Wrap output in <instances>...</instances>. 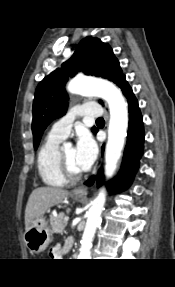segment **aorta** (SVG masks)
Segmentation results:
<instances>
[{"instance_id":"obj_1","label":"aorta","mask_w":175,"mask_h":287,"mask_svg":"<svg viewBox=\"0 0 175 287\" xmlns=\"http://www.w3.org/2000/svg\"><path fill=\"white\" fill-rule=\"evenodd\" d=\"M70 93L93 94L104 99L109 106L110 120L108 140L105 150V175L111 178L117 168L118 160L124 147L128 128V107L121 91L107 81L75 78L67 87ZM106 191L101 189L92 201L87 213V222L81 240L79 259H91L90 249L95 231L101 223V213L104 210Z\"/></svg>"}]
</instances>
